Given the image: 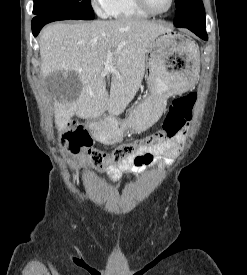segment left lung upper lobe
Here are the masks:
<instances>
[{"mask_svg":"<svg viewBox=\"0 0 247 275\" xmlns=\"http://www.w3.org/2000/svg\"><path fill=\"white\" fill-rule=\"evenodd\" d=\"M176 27H206L205 11L202 0H175Z\"/></svg>","mask_w":247,"mask_h":275,"instance_id":"left-lung-upper-lobe-1","label":"left lung upper lobe"}]
</instances>
